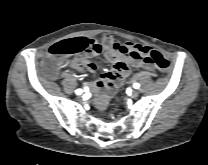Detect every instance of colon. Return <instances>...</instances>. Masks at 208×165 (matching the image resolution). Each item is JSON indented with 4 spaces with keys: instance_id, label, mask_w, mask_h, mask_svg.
Masks as SVG:
<instances>
[{
    "instance_id": "obj_1",
    "label": "colon",
    "mask_w": 208,
    "mask_h": 165,
    "mask_svg": "<svg viewBox=\"0 0 208 165\" xmlns=\"http://www.w3.org/2000/svg\"><path fill=\"white\" fill-rule=\"evenodd\" d=\"M87 48L88 42L84 38H72L54 44L42 63L44 74L50 79H55L60 71V59L80 54ZM143 53L146 62L151 63L161 71L169 70L170 62L160 52L145 47Z\"/></svg>"
}]
</instances>
